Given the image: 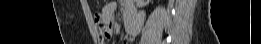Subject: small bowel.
Masks as SVG:
<instances>
[{
    "instance_id": "1",
    "label": "small bowel",
    "mask_w": 261,
    "mask_h": 44,
    "mask_svg": "<svg viewBox=\"0 0 261 44\" xmlns=\"http://www.w3.org/2000/svg\"><path fill=\"white\" fill-rule=\"evenodd\" d=\"M123 15L124 18L130 17L133 20V26L131 28V32L127 33L123 40L124 44H130L132 43L133 39L137 35L138 29L142 24V14L137 11V9L131 4L130 2H123ZM117 9V3L112 2L108 4L104 9V21H97L96 23V29L98 30L100 36L102 38L109 37L111 35V26L108 23H114L115 22V11Z\"/></svg>"
}]
</instances>
